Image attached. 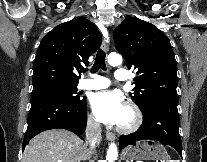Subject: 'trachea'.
<instances>
[{"label":"trachea","mask_w":207,"mask_h":162,"mask_svg":"<svg viewBox=\"0 0 207 162\" xmlns=\"http://www.w3.org/2000/svg\"><path fill=\"white\" fill-rule=\"evenodd\" d=\"M105 57V52L99 49L95 58V63L91 69L92 73L97 72L99 69L106 70ZM82 71L85 72L86 70L83 69Z\"/></svg>","instance_id":"trachea-1"}]
</instances>
